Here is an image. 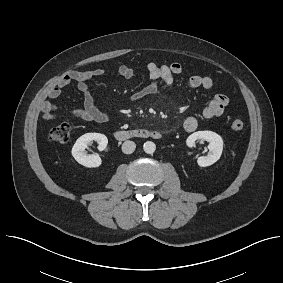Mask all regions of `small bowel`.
<instances>
[{"mask_svg":"<svg viewBox=\"0 0 283 283\" xmlns=\"http://www.w3.org/2000/svg\"><path fill=\"white\" fill-rule=\"evenodd\" d=\"M151 83L144 86L137 92L131 95L130 102H136L145 96L157 93L159 90L168 89L173 85L174 77L182 73V65L178 62H173L169 65H158L149 63L146 67ZM109 72L104 69H95L88 71H71L64 75L56 86L49 91V99L42 106V114L46 120H56L63 117L74 119H82L103 123L109 119L108 113L97 108L93 95L89 88V81L95 77L107 75ZM117 76L124 79H131L135 76L136 70L130 66L122 65L114 72ZM189 86L192 88L211 89L213 80L205 75H191L187 78ZM72 83L77 84L78 90L83 95L82 107H74L60 109L53 101L58 99L62 90ZM229 104L227 95L218 93L213 96L207 106L202 111L203 119H212L223 114L225 108ZM199 120L195 116L187 117L183 122V127L187 132H193L197 129Z\"/></svg>","mask_w":283,"mask_h":283,"instance_id":"obj_1","label":"small bowel"}]
</instances>
